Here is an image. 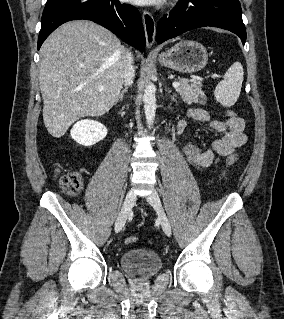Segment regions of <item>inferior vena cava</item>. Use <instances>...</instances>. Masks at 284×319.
Here are the masks:
<instances>
[{
	"mask_svg": "<svg viewBox=\"0 0 284 319\" xmlns=\"http://www.w3.org/2000/svg\"><path fill=\"white\" fill-rule=\"evenodd\" d=\"M133 57L130 52L126 54V65L124 70V83L125 85H131L133 83V78L135 76V71L133 67Z\"/></svg>",
	"mask_w": 284,
	"mask_h": 319,
	"instance_id": "inferior-vena-cava-1",
	"label": "inferior vena cava"
}]
</instances>
